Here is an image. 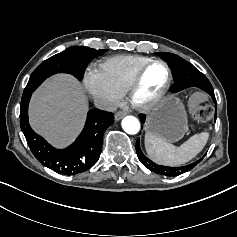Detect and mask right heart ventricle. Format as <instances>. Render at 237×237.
Returning a JSON list of instances; mask_svg holds the SVG:
<instances>
[{"instance_id":"right-heart-ventricle-1","label":"right heart ventricle","mask_w":237,"mask_h":237,"mask_svg":"<svg viewBox=\"0 0 237 237\" xmlns=\"http://www.w3.org/2000/svg\"><path fill=\"white\" fill-rule=\"evenodd\" d=\"M150 61L139 55H117L105 59L100 68L108 76L114 87L125 94L140 68Z\"/></svg>"}]
</instances>
